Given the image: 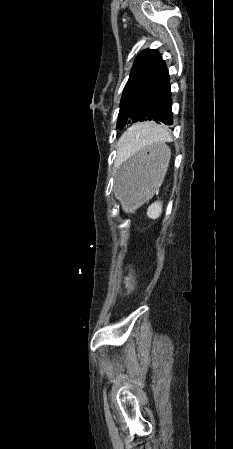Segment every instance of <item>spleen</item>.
Segmentation results:
<instances>
[{
  "label": "spleen",
  "mask_w": 233,
  "mask_h": 449,
  "mask_svg": "<svg viewBox=\"0 0 233 449\" xmlns=\"http://www.w3.org/2000/svg\"><path fill=\"white\" fill-rule=\"evenodd\" d=\"M165 125H141L135 124V127L127 131L121 139L120 154H126L136 147H142L153 142H162ZM162 213V202L156 201L147 209V216L151 219H157Z\"/></svg>",
  "instance_id": "spleen-1"
}]
</instances>
